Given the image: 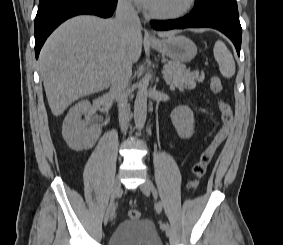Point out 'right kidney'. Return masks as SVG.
I'll return each instance as SVG.
<instances>
[{
	"instance_id": "ca27d5eb",
	"label": "right kidney",
	"mask_w": 283,
	"mask_h": 245,
	"mask_svg": "<svg viewBox=\"0 0 283 245\" xmlns=\"http://www.w3.org/2000/svg\"><path fill=\"white\" fill-rule=\"evenodd\" d=\"M94 113L90 101L81 100L70 108L62 125V135L68 146L74 150H87L92 148L99 138L101 131L90 124ZM82 115L85 119L82 120Z\"/></svg>"
}]
</instances>
